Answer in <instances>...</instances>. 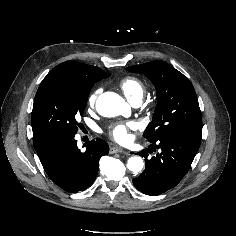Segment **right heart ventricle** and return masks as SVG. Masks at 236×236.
<instances>
[{
	"label": "right heart ventricle",
	"mask_w": 236,
	"mask_h": 236,
	"mask_svg": "<svg viewBox=\"0 0 236 236\" xmlns=\"http://www.w3.org/2000/svg\"><path fill=\"white\" fill-rule=\"evenodd\" d=\"M125 96L130 100H141L145 93L144 83L137 77L127 76L119 84Z\"/></svg>",
	"instance_id": "1"
}]
</instances>
